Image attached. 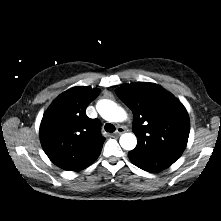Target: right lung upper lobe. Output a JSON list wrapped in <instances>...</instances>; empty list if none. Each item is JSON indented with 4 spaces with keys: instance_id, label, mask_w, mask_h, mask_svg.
I'll return each mask as SVG.
<instances>
[{
    "instance_id": "right-lung-upper-lobe-1",
    "label": "right lung upper lobe",
    "mask_w": 221,
    "mask_h": 221,
    "mask_svg": "<svg viewBox=\"0 0 221 221\" xmlns=\"http://www.w3.org/2000/svg\"><path fill=\"white\" fill-rule=\"evenodd\" d=\"M100 90L74 87L60 94L48 107L40 125L41 145L58 167L80 171L99 156L105 138L100 121L85 114Z\"/></svg>"
}]
</instances>
